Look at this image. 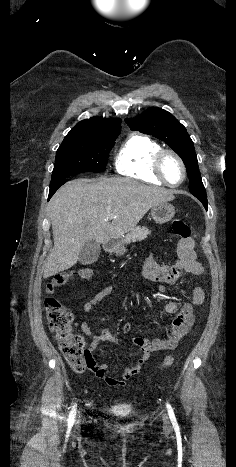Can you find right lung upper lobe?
Segmentation results:
<instances>
[{
  "label": "right lung upper lobe",
  "mask_w": 236,
  "mask_h": 467,
  "mask_svg": "<svg viewBox=\"0 0 236 467\" xmlns=\"http://www.w3.org/2000/svg\"><path fill=\"white\" fill-rule=\"evenodd\" d=\"M120 119L93 117L82 120L68 134H115L121 131Z\"/></svg>",
  "instance_id": "obj_1"
}]
</instances>
